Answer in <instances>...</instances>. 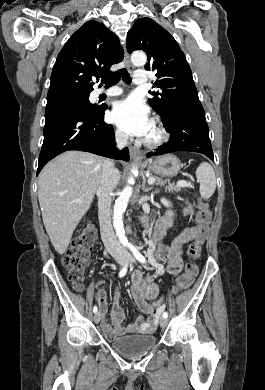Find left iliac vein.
Instances as JSON below:
<instances>
[{
    "mask_svg": "<svg viewBox=\"0 0 265 390\" xmlns=\"http://www.w3.org/2000/svg\"><path fill=\"white\" fill-rule=\"evenodd\" d=\"M127 256H128V259H129L130 263H134L135 262V258L130 253H128ZM167 324H168V320L166 318H161L160 319V326L161 327H166Z\"/></svg>",
    "mask_w": 265,
    "mask_h": 390,
    "instance_id": "obj_1",
    "label": "left iliac vein"
}]
</instances>
